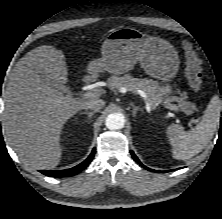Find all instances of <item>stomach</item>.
Here are the masks:
<instances>
[{
    "label": "stomach",
    "mask_w": 222,
    "mask_h": 219,
    "mask_svg": "<svg viewBox=\"0 0 222 219\" xmlns=\"http://www.w3.org/2000/svg\"><path fill=\"white\" fill-rule=\"evenodd\" d=\"M102 57L88 64V73L95 77L101 71L120 75L139 62L144 71L163 82L175 77L179 56L168 41L146 35L134 28H119L110 32L101 48ZM169 85L162 87L164 98L170 96Z\"/></svg>",
    "instance_id": "1"
}]
</instances>
